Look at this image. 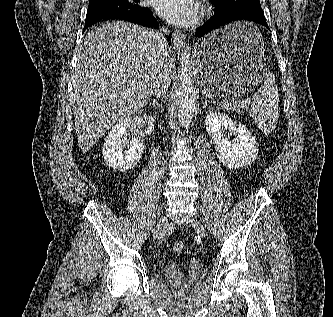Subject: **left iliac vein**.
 Returning a JSON list of instances; mask_svg holds the SVG:
<instances>
[{
	"instance_id": "4c4485c4",
	"label": "left iliac vein",
	"mask_w": 333,
	"mask_h": 317,
	"mask_svg": "<svg viewBox=\"0 0 333 317\" xmlns=\"http://www.w3.org/2000/svg\"><path fill=\"white\" fill-rule=\"evenodd\" d=\"M191 225L197 230L198 234L202 237H206V230L204 226L196 219L190 221Z\"/></svg>"
}]
</instances>
